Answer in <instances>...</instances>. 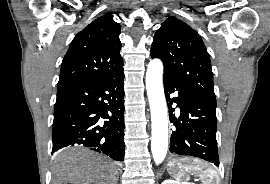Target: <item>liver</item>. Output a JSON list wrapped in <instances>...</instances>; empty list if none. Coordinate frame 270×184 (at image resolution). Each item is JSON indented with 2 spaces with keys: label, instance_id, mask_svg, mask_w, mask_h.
I'll list each match as a JSON object with an SVG mask.
<instances>
[{
  "label": "liver",
  "instance_id": "obj_1",
  "mask_svg": "<svg viewBox=\"0 0 270 184\" xmlns=\"http://www.w3.org/2000/svg\"><path fill=\"white\" fill-rule=\"evenodd\" d=\"M52 180V184H117L118 169L114 162L76 147L58 156Z\"/></svg>",
  "mask_w": 270,
  "mask_h": 184
}]
</instances>
